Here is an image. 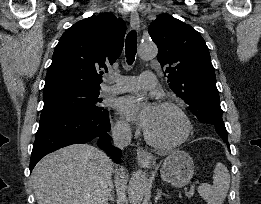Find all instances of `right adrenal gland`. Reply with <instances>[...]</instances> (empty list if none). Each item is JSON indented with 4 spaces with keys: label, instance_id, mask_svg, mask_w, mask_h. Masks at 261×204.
Returning <instances> with one entry per match:
<instances>
[{
    "label": "right adrenal gland",
    "instance_id": "obj_1",
    "mask_svg": "<svg viewBox=\"0 0 261 204\" xmlns=\"http://www.w3.org/2000/svg\"><path fill=\"white\" fill-rule=\"evenodd\" d=\"M114 196H115L114 190L112 189L111 194H110V196H109V200H111L112 202H114ZM107 204H108V203H107Z\"/></svg>",
    "mask_w": 261,
    "mask_h": 204
}]
</instances>
